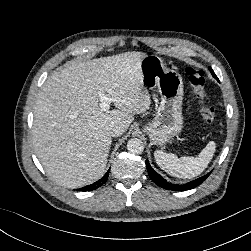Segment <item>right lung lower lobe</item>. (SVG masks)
I'll use <instances>...</instances> for the list:
<instances>
[{
  "instance_id": "right-lung-lower-lobe-1",
  "label": "right lung lower lobe",
  "mask_w": 251,
  "mask_h": 251,
  "mask_svg": "<svg viewBox=\"0 0 251 251\" xmlns=\"http://www.w3.org/2000/svg\"><path fill=\"white\" fill-rule=\"evenodd\" d=\"M108 175H109V171L101 179H99L97 182H95L91 185L85 186L83 188H80V190L81 191H91V190H95V189L99 188L107 181Z\"/></svg>"
}]
</instances>
